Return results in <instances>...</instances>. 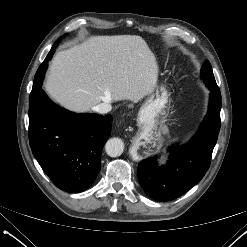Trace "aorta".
<instances>
[{
  "mask_svg": "<svg viewBox=\"0 0 247 247\" xmlns=\"http://www.w3.org/2000/svg\"><path fill=\"white\" fill-rule=\"evenodd\" d=\"M105 151L110 157H118L124 151V142L120 138H110L105 144Z\"/></svg>",
  "mask_w": 247,
  "mask_h": 247,
  "instance_id": "1",
  "label": "aorta"
}]
</instances>
